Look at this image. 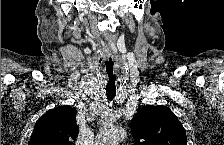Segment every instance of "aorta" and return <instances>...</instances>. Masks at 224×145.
Masks as SVG:
<instances>
[{"label":"aorta","mask_w":224,"mask_h":145,"mask_svg":"<svg viewBox=\"0 0 224 145\" xmlns=\"http://www.w3.org/2000/svg\"><path fill=\"white\" fill-rule=\"evenodd\" d=\"M125 130L121 127L110 126L103 128L98 135L99 145H118L125 137Z\"/></svg>","instance_id":"aorta-1"}]
</instances>
